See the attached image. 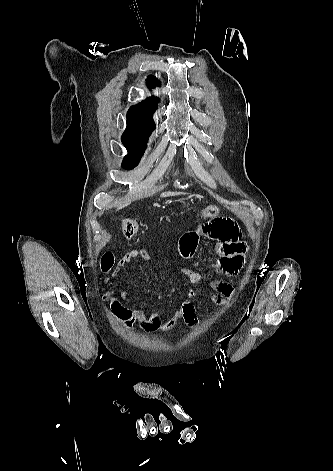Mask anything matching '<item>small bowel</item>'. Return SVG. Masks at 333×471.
Segmentation results:
<instances>
[{
	"mask_svg": "<svg viewBox=\"0 0 333 471\" xmlns=\"http://www.w3.org/2000/svg\"><path fill=\"white\" fill-rule=\"evenodd\" d=\"M207 218L209 220L198 229L182 236L180 251L184 257L189 258L195 254L201 238L216 241L219 259L214 271L219 278L209 281L210 275L208 272L191 268H182L181 273L192 286L208 282L211 289L208 296L209 301L216 305H226L234 294V287L222 277L235 276L243 269L246 263L248 245L242 240L239 225L234 218L220 215ZM136 258L148 261L150 256L144 249L130 250L119 259L113 271V276L117 277L120 274V269ZM105 297L110 304L113 316L125 328L138 324L145 332L152 333L169 331L181 320L192 328L199 325L196 308L193 304L197 293L193 288L188 293V299L167 320H163L158 312L146 314L142 310L127 307L122 299L115 296L113 287L106 292Z\"/></svg>",
	"mask_w": 333,
	"mask_h": 471,
	"instance_id": "c3829d8e",
	"label": "small bowel"
}]
</instances>
